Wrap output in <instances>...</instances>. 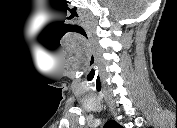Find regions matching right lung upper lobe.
Segmentation results:
<instances>
[{"mask_svg":"<svg viewBox=\"0 0 177 128\" xmlns=\"http://www.w3.org/2000/svg\"><path fill=\"white\" fill-rule=\"evenodd\" d=\"M106 128H122L121 125H119L117 122H115L114 120H110L105 124Z\"/></svg>","mask_w":177,"mask_h":128,"instance_id":"cb5924a9","label":"right lung upper lobe"}]
</instances>
